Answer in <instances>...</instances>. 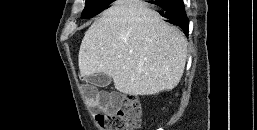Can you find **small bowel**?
I'll return each instance as SVG.
<instances>
[{
	"instance_id": "1",
	"label": "small bowel",
	"mask_w": 257,
	"mask_h": 130,
	"mask_svg": "<svg viewBox=\"0 0 257 130\" xmlns=\"http://www.w3.org/2000/svg\"><path fill=\"white\" fill-rule=\"evenodd\" d=\"M87 104L98 111H109L121 103L120 95L116 93L102 92L95 88V94L92 97L86 96Z\"/></svg>"
}]
</instances>
